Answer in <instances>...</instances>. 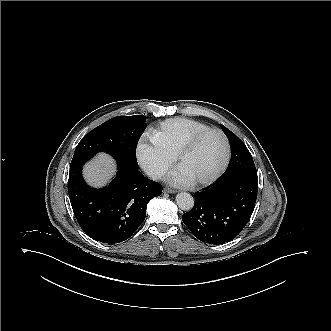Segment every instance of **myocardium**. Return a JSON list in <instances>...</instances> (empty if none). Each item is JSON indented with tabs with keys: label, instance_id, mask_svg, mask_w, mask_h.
<instances>
[{
	"label": "myocardium",
	"instance_id": "f54148a6",
	"mask_svg": "<svg viewBox=\"0 0 331 331\" xmlns=\"http://www.w3.org/2000/svg\"><path fill=\"white\" fill-rule=\"evenodd\" d=\"M217 134L220 136V138L223 141V145H224V157H223V161L220 165V167L218 168V170L211 175L208 178H203V179H197V180H193V185L199 186V185H207L210 184L214 181H216L226 170L228 163H229V159H230V147H229V142L228 139L226 137V135L217 128H209L207 130H204L198 134H196L195 136H193L192 138H190L179 150L178 156H177V167H180L181 162L184 158V156L186 155V153L191 150L197 143L199 140H201L203 137L209 135V134Z\"/></svg>",
	"mask_w": 331,
	"mask_h": 331
}]
</instances>
